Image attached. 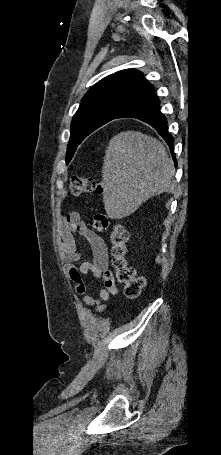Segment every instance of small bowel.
<instances>
[{
  "instance_id": "obj_1",
  "label": "small bowel",
  "mask_w": 221,
  "mask_h": 455,
  "mask_svg": "<svg viewBox=\"0 0 221 455\" xmlns=\"http://www.w3.org/2000/svg\"><path fill=\"white\" fill-rule=\"evenodd\" d=\"M59 232L61 236L60 247L62 258L71 266L70 274L75 282L76 292L84 294L86 286L81 278L82 275L92 273L93 276L102 281L98 298L84 295L82 300L88 305L100 309L111 295L118 291L111 273L108 271V250L101 237L91 231L76 213H72L59 221ZM76 235L85 238L92 250L93 260L83 261L78 265L75 263L80 259L77 251Z\"/></svg>"
}]
</instances>
